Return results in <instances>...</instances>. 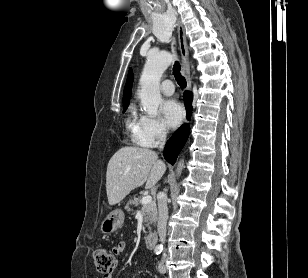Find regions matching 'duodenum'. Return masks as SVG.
I'll use <instances>...</instances> for the list:
<instances>
[{
	"label": "duodenum",
	"instance_id": "1",
	"mask_svg": "<svg viewBox=\"0 0 308 278\" xmlns=\"http://www.w3.org/2000/svg\"><path fill=\"white\" fill-rule=\"evenodd\" d=\"M157 233L156 232H151L146 236V245L148 248H153L156 246L157 243Z\"/></svg>",
	"mask_w": 308,
	"mask_h": 278
}]
</instances>
